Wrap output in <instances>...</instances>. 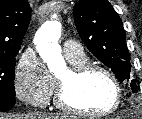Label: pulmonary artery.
<instances>
[{"label":"pulmonary artery","instance_id":"obj_1","mask_svg":"<svg viewBox=\"0 0 142 119\" xmlns=\"http://www.w3.org/2000/svg\"><path fill=\"white\" fill-rule=\"evenodd\" d=\"M63 49L66 57H77L83 54L81 46L73 40L64 41Z\"/></svg>","mask_w":142,"mask_h":119}]
</instances>
